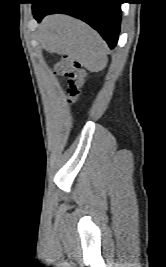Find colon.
<instances>
[{"instance_id": "5ec220e1", "label": "colon", "mask_w": 166, "mask_h": 267, "mask_svg": "<svg viewBox=\"0 0 166 267\" xmlns=\"http://www.w3.org/2000/svg\"><path fill=\"white\" fill-rule=\"evenodd\" d=\"M55 70L59 75L66 78L67 102L71 105L74 104L81 95L86 71L78 62L68 57H63L60 61H58L55 66Z\"/></svg>"}]
</instances>
